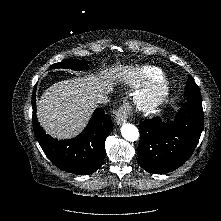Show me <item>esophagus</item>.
Masks as SVG:
<instances>
[{"label": "esophagus", "mask_w": 221, "mask_h": 221, "mask_svg": "<svg viewBox=\"0 0 221 221\" xmlns=\"http://www.w3.org/2000/svg\"><path fill=\"white\" fill-rule=\"evenodd\" d=\"M132 110L128 103H123L116 111L115 120L118 125L125 123L131 115Z\"/></svg>", "instance_id": "obj_1"}]
</instances>
